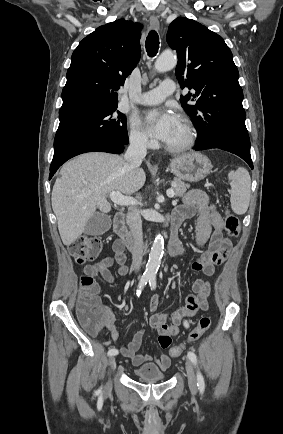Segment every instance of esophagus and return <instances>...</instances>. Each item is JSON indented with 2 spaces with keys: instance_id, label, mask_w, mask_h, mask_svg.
I'll list each match as a JSON object with an SVG mask.
<instances>
[{
  "instance_id": "34e87169",
  "label": "esophagus",
  "mask_w": 283,
  "mask_h": 434,
  "mask_svg": "<svg viewBox=\"0 0 283 434\" xmlns=\"http://www.w3.org/2000/svg\"><path fill=\"white\" fill-rule=\"evenodd\" d=\"M150 25L155 28V29H159V20L157 17H150Z\"/></svg>"
}]
</instances>
